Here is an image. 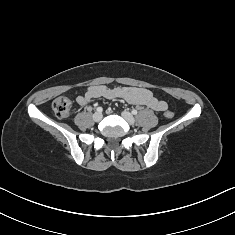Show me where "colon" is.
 <instances>
[{"instance_id": "colon-1", "label": "colon", "mask_w": 235, "mask_h": 235, "mask_svg": "<svg viewBox=\"0 0 235 235\" xmlns=\"http://www.w3.org/2000/svg\"><path fill=\"white\" fill-rule=\"evenodd\" d=\"M52 109L58 118L63 119L70 115L72 110V103L67 97L60 96L53 101ZM173 116L174 113L171 111H167L165 113V117L169 119L173 118Z\"/></svg>"}]
</instances>
